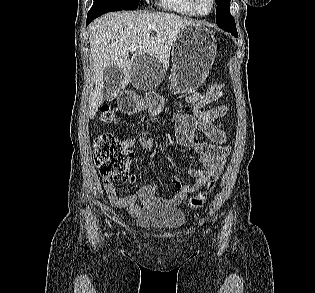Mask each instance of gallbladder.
<instances>
[{
    "label": "gallbladder",
    "mask_w": 315,
    "mask_h": 293,
    "mask_svg": "<svg viewBox=\"0 0 315 293\" xmlns=\"http://www.w3.org/2000/svg\"><path fill=\"white\" fill-rule=\"evenodd\" d=\"M124 78L125 74L122 69L114 65L105 68L103 72L104 88L102 90L105 101H112L116 97L124 82Z\"/></svg>",
    "instance_id": "bac80fb5"
}]
</instances>
